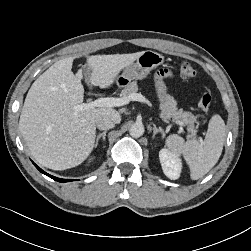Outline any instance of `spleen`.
Segmentation results:
<instances>
[{
	"instance_id": "obj_1",
	"label": "spleen",
	"mask_w": 251,
	"mask_h": 251,
	"mask_svg": "<svg viewBox=\"0 0 251 251\" xmlns=\"http://www.w3.org/2000/svg\"><path fill=\"white\" fill-rule=\"evenodd\" d=\"M226 128L222 117L214 114L208 124L204 141H185L177 134L169 135L165 146L176 155L182 154L190 167V176L197 180L208 173L218 162L225 142Z\"/></svg>"
}]
</instances>
